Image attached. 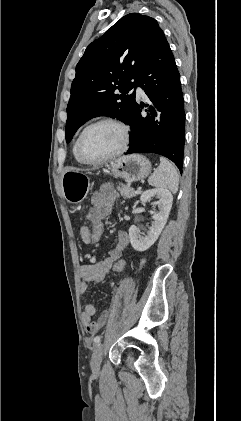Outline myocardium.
I'll list each match as a JSON object with an SVG mask.
<instances>
[{
    "mask_svg": "<svg viewBox=\"0 0 241 421\" xmlns=\"http://www.w3.org/2000/svg\"><path fill=\"white\" fill-rule=\"evenodd\" d=\"M100 124H112L116 127H118L122 133V141L121 144L119 146V148L117 150H115L114 152L100 158V159H96V160H91L88 159L82 150V142L84 139V136L86 135V133L93 127L100 125ZM130 142V128L128 127L127 124H125L123 121L116 119V118H112V117H104V118H100L98 120H95L93 122H91L90 124H88L79 134L78 139H77V154L79 156V158L81 159V161L83 163L89 164V165H100L103 164L105 162H108L118 156H120L121 154H123L129 145Z\"/></svg>",
    "mask_w": 241,
    "mask_h": 421,
    "instance_id": "f54148a6",
    "label": "myocardium"
}]
</instances>
